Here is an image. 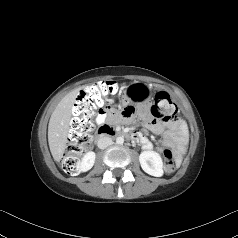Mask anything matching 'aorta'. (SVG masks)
<instances>
[{
	"mask_svg": "<svg viewBox=\"0 0 238 238\" xmlns=\"http://www.w3.org/2000/svg\"><path fill=\"white\" fill-rule=\"evenodd\" d=\"M116 143L120 144V145L123 144L124 143V138L123 137H117L116 138Z\"/></svg>",
	"mask_w": 238,
	"mask_h": 238,
	"instance_id": "762f6f07",
	"label": "aorta"
}]
</instances>
